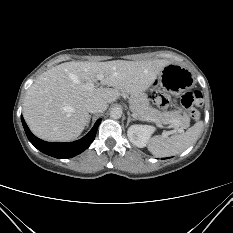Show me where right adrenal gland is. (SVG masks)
Segmentation results:
<instances>
[{"label": "right adrenal gland", "instance_id": "obj_1", "mask_svg": "<svg viewBox=\"0 0 233 233\" xmlns=\"http://www.w3.org/2000/svg\"><path fill=\"white\" fill-rule=\"evenodd\" d=\"M90 119H91V115H89V118H88V121H87V126L89 125Z\"/></svg>", "mask_w": 233, "mask_h": 233}]
</instances>
